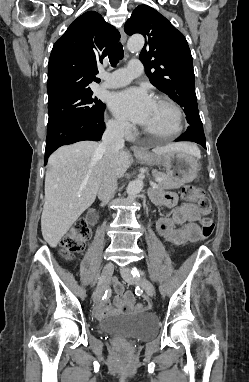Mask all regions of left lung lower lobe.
I'll list each match as a JSON object with an SVG mask.
<instances>
[{
	"label": "left lung lower lobe",
	"instance_id": "left-lung-lower-lobe-1",
	"mask_svg": "<svg viewBox=\"0 0 249 382\" xmlns=\"http://www.w3.org/2000/svg\"><path fill=\"white\" fill-rule=\"evenodd\" d=\"M175 141H193L202 145L206 149V140L203 128L188 127L186 132Z\"/></svg>",
	"mask_w": 249,
	"mask_h": 382
}]
</instances>
